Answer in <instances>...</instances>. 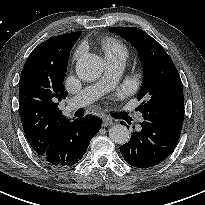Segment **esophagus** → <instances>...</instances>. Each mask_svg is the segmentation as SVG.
Returning <instances> with one entry per match:
<instances>
[{"label": "esophagus", "mask_w": 205, "mask_h": 205, "mask_svg": "<svg viewBox=\"0 0 205 205\" xmlns=\"http://www.w3.org/2000/svg\"><path fill=\"white\" fill-rule=\"evenodd\" d=\"M113 123H114L113 120L110 119L109 117L102 118V126H104V127L112 125Z\"/></svg>", "instance_id": "esophagus-1"}]
</instances>
